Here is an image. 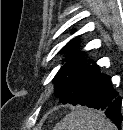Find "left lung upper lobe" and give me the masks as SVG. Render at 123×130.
<instances>
[{
  "instance_id": "1",
  "label": "left lung upper lobe",
  "mask_w": 123,
  "mask_h": 130,
  "mask_svg": "<svg viewBox=\"0 0 123 130\" xmlns=\"http://www.w3.org/2000/svg\"><path fill=\"white\" fill-rule=\"evenodd\" d=\"M77 38L67 43L64 50L75 51L78 43ZM66 61V64L53 79L54 83H57L55 85V96L64 104L76 105L92 70L85 58V52L70 53Z\"/></svg>"
}]
</instances>
